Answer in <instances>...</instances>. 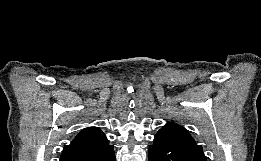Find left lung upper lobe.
Segmentation results:
<instances>
[{
	"mask_svg": "<svg viewBox=\"0 0 261 161\" xmlns=\"http://www.w3.org/2000/svg\"><path fill=\"white\" fill-rule=\"evenodd\" d=\"M158 132H167L171 133L177 137H180L186 141L189 142H195L194 139L191 137V135L185 130L183 127L174 124V123H168L163 128H161Z\"/></svg>",
	"mask_w": 261,
	"mask_h": 161,
	"instance_id": "5c2ea615",
	"label": "left lung upper lobe"
}]
</instances>
